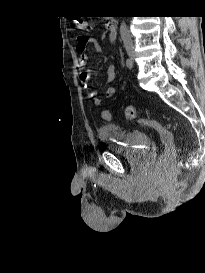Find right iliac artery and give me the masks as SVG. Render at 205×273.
I'll return each mask as SVG.
<instances>
[{
  "mask_svg": "<svg viewBox=\"0 0 205 273\" xmlns=\"http://www.w3.org/2000/svg\"><path fill=\"white\" fill-rule=\"evenodd\" d=\"M126 67H127L128 69H132L133 64H132V62H131L130 59H126Z\"/></svg>",
  "mask_w": 205,
  "mask_h": 273,
  "instance_id": "right-iliac-artery-1",
  "label": "right iliac artery"
}]
</instances>
